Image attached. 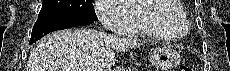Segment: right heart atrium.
Listing matches in <instances>:
<instances>
[{"instance_id": "obj_1", "label": "right heart atrium", "mask_w": 230, "mask_h": 71, "mask_svg": "<svg viewBox=\"0 0 230 71\" xmlns=\"http://www.w3.org/2000/svg\"><path fill=\"white\" fill-rule=\"evenodd\" d=\"M128 2L127 0H96L94 4L96 16L106 28L124 33L133 23V17L126 8Z\"/></svg>"}]
</instances>
